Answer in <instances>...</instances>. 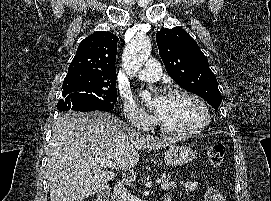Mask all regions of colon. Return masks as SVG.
<instances>
[{
    "label": "colon",
    "instance_id": "obj_1",
    "mask_svg": "<svg viewBox=\"0 0 271 201\" xmlns=\"http://www.w3.org/2000/svg\"><path fill=\"white\" fill-rule=\"evenodd\" d=\"M225 152L226 147L221 142L214 143L209 147L207 155L209 158L210 165L214 170L219 169L223 164Z\"/></svg>",
    "mask_w": 271,
    "mask_h": 201
}]
</instances>
